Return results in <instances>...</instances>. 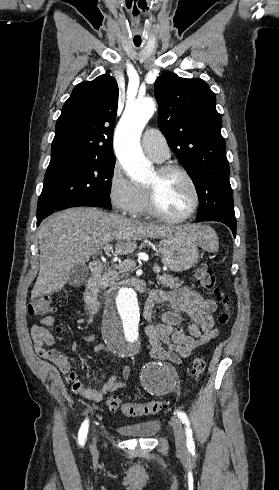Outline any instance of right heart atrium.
Wrapping results in <instances>:
<instances>
[{"instance_id":"d8ad5b80","label":"right heart atrium","mask_w":279,"mask_h":490,"mask_svg":"<svg viewBox=\"0 0 279 490\" xmlns=\"http://www.w3.org/2000/svg\"><path fill=\"white\" fill-rule=\"evenodd\" d=\"M108 197L113 209L123 216H138L144 208L142 189L133 184L115 161L108 175Z\"/></svg>"}]
</instances>
